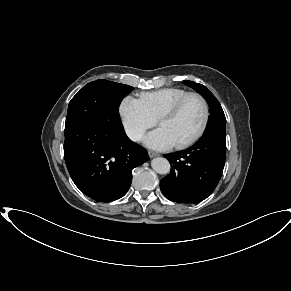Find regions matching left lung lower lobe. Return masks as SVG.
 I'll list each match as a JSON object with an SVG mask.
<instances>
[{
    "mask_svg": "<svg viewBox=\"0 0 291 291\" xmlns=\"http://www.w3.org/2000/svg\"><path fill=\"white\" fill-rule=\"evenodd\" d=\"M226 133H206L190 148L164 155L171 172L161 179L165 197L178 203H198L212 194L225 165Z\"/></svg>",
    "mask_w": 291,
    "mask_h": 291,
    "instance_id": "obj_1",
    "label": "left lung lower lobe"
}]
</instances>
